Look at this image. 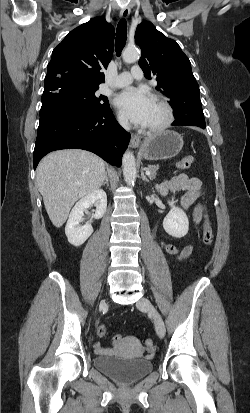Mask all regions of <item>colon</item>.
Wrapping results in <instances>:
<instances>
[{"label":"colon","instance_id":"obj_1","mask_svg":"<svg viewBox=\"0 0 250 413\" xmlns=\"http://www.w3.org/2000/svg\"><path fill=\"white\" fill-rule=\"evenodd\" d=\"M194 162V159L192 156H186L183 159L179 160L176 164V166L179 169H188ZM203 242L206 245H211L213 242V232L211 228V223L209 220V216L207 213V209L204 208V224H203ZM108 333V329L105 325H100L97 329V334L100 337L106 336ZM122 339V336L120 333H116L114 336L111 337V343L114 347L119 345V341ZM145 347L148 353H152L154 351V342L151 339H147L145 341Z\"/></svg>","mask_w":250,"mask_h":413}]
</instances>
